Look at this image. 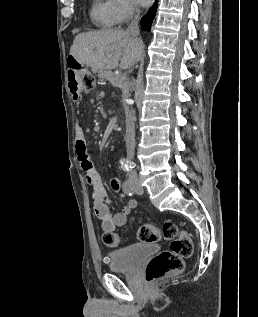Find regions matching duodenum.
<instances>
[{
    "instance_id": "obj_1",
    "label": "duodenum",
    "mask_w": 258,
    "mask_h": 317,
    "mask_svg": "<svg viewBox=\"0 0 258 317\" xmlns=\"http://www.w3.org/2000/svg\"><path fill=\"white\" fill-rule=\"evenodd\" d=\"M66 84L74 100H78L83 92L82 77L79 69L69 67L66 74Z\"/></svg>"
}]
</instances>
